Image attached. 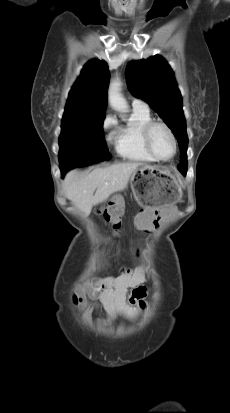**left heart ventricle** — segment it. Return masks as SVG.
Returning <instances> with one entry per match:
<instances>
[{"mask_svg": "<svg viewBox=\"0 0 230 413\" xmlns=\"http://www.w3.org/2000/svg\"><path fill=\"white\" fill-rule=\"evenodd\" d=\"M151 145L155 153L167 159L173 154L174 146L168 132L161 126H156L151 133Z\"/></svg>", "mask_w": 230, "mask_h": 413, "instance_id": "left-heart-ventricle-1", "label": "left heart ventricle"}]
</instances>
